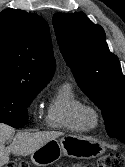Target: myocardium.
Wrapping results in <instances>:
<instances>
[{"label": "myocardium", "mask_w": 125, "mask_h": 167, "mask_svg": "<svg viewBox=\"0 0 125 167\" xmlns=\"http://www.w3.org/2000/svg\"><path fill=\"white\" fill-rule=\"evenodd\" d=\"M80 116L88 129L95 128L99 123V114L93 106L84 105Z\"/></svg>", "instance_id": "myocardium-1"}]
</instances>
